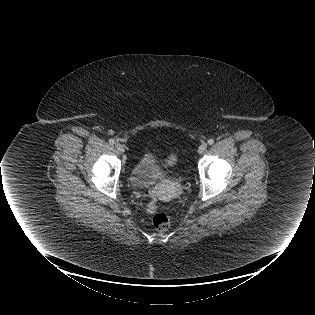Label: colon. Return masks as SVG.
<instances>
[{"instance_id": "1", "label": "colon", "mask_w": 315, "mask_h": 315, "mask_svg": "<svg viewBox=\"0 0 315 315\" xmlns=\"http://www.w3.org/2000/svg\"><path fill=\"white\" fill-rule=\"evenodd\" d=\"M175 162H176V156L175 155H171L166 160V164L168 166L174 165ZM149 211L153 214L152 223L158 231H166L169 229V227L171 225V221H170L169 216L164 212H156L155 202H151L149 204Z\"/></svg>"}]
</instances>
